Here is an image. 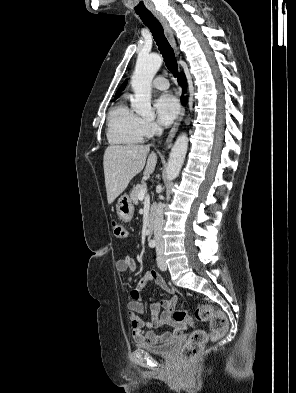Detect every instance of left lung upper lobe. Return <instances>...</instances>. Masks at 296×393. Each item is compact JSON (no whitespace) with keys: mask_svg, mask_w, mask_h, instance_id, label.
<instances>
[{"mask_svg":"<svg viewBox=\"0 0 296 393\" xmlns=\"http://www.w3.org/2000/svg\"><path fill=\"white\" fill-rule=\"evenodd\" d=\"M126 81L121 85V87L118 89V91H117V93H116V96H115V99L118 97V93H120L124 88H125V86H126ZM114 99V100H115Z\"/></svg>","mask_w":296,"mask_h":393,"instance_id":"1","label":"left lung upper lobe"}]
</instances>
